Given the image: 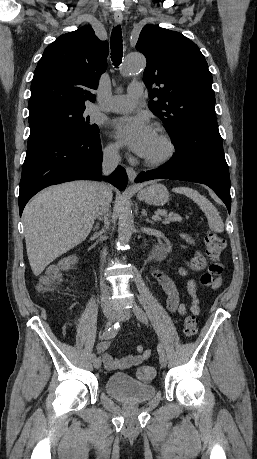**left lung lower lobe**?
Segmentation results:
<instances>
[{"label": "left lung lower lobe", "instance_id": "obj_1", "mask_svg": "<svg viewBox=\"0 0 257 459\" xmlns=\"http://www.w3.org/2000/svg\"><path fill=\"white\" fill-rule=\"evenodd\" d=\"M176 153L162 167L141 172L135 182L172 179L212 188L230 213V177L216 119L191 122L172 139Z\"/></svg>", "mask_w": 257, "mask_h": 459}]
</instances>
